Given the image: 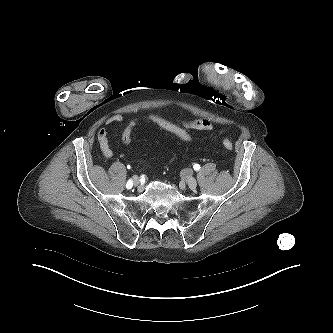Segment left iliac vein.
Masks as SVG:
<instances>
[{
	"instance_id": "left-iliac-vein-1",
	"label": "left iliac vein",
	"mask_w": 333,
	"mask_h": 333,
	"mask_svg": "<svg viewBox=\"0 0 333 333\" xmlns=\"http://www.w3.org/2000/svg\"><path fill=\"white\" fill-rule=\"evenodd\" d=\"M183 182H185L190 189H195L197 186V181L192 176L185 174L183 176Z\"/></svg>"
}]
</instances>
